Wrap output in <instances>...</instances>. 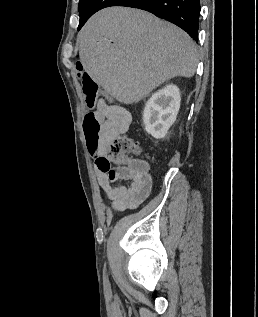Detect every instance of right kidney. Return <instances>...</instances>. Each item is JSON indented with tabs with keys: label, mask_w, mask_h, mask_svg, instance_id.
<instances>
[{
	"label": "right kidney",
	"mask_w": 258,
	"mask_h": 317,
	"mask_svg": "<svg viewBox=\"0 0 258 317\" xmlns=\"http://www.w3.org/2000/svg\"><path fill=\"white\" fill-rule=\"evenodd\" d=\"M180 90L176 84H166L147 100L143 112L145 130L154 138H164L175 122L180 108Z\"/></svg>",
	"instance_id": "right-kidney-1"
}]
</instances>
